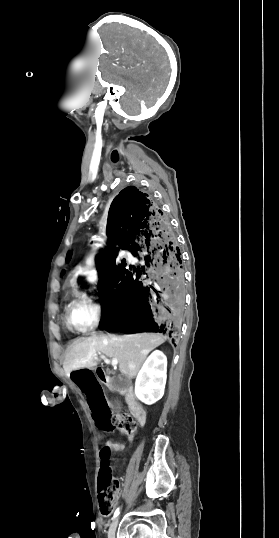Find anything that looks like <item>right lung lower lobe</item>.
Instances as JSON below:
<instances>
[{"instance_id": "1", "label": "right lung lower lobe", "mask_w": 279, "mask_h": 538, "mask_svg": "<svg viewBox=\"0 0 279 538\" xmlns=\"http://www.w3.org/2000/svg\"><path fill=\"white\" fill-rule=\"evenodd\" d=\"M107 236V253L96 260L100 328L175 334L185 311V278L179 247L159 205L134 186L123 189L109 209ZM116 244L137 257L129 270L125 259H117Z\"/></svg>"}]
</instances>
